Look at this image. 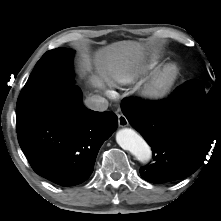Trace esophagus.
<instances>
[{
  "mask_svg": "<svg viewBox=\"0 0 221 221\" xmlns=\"http://www.w3.org/2000/svg\"><path fill=\"white\" fill-rule=\"evenodd\" d=\"M118 124L120 127H126L128 126V120L123 114L118 115Z\"/></svg>",
  "mask_w": 221,
  "mask_h": 221,
  "instance_id": "1",
  "label": "esophagus"
}]
</instances>
